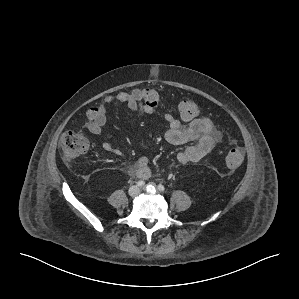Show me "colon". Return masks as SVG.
Here are the masks:
<instances>
[{
    "instance_id": "obj_1",
    "label": "colon",
    "mask_w": 299,
    "mask_h": 299,
    "mask_svg": "<svg viewBox=\"0 0 299 299\" xmlns=\"http://www.w3.org/2000/svg\"><path fill=\"white\" fill-rule=\"evenodd\" d=\"M143 101L149 106H157L160 102V93L151 87H143L140 89ZM179 114L185 121H190L199 115L198 104L191 99H184L178 106ZM98 108H91L87 112L89 121L95 120ZM88 149V139L86 135L78 130H70L66 132L61 139V151L65 161H73L83 155ZM225 165L229 169H237L244 162V152L240 148L229 150L224 156Z\"/></svg>"
}]
</instances>
